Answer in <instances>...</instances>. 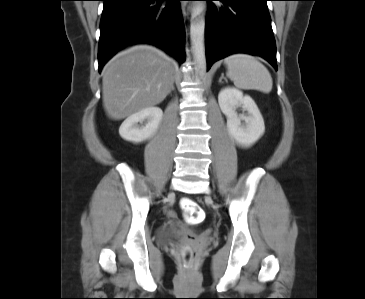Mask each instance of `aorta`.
<instances>
[{
	"mask_svg": "<svg viewBox=\"0 0 365 299\" xmlns=\"http://www.w3.org/2000/svg\"><path fill=\"white\" fill-rule=\"evenodd\" d=\"M205 34V14L204 3L198 1L195 3L190 25V39L192 45L193 57L197 69V73L201 79L206 76L207 62L204 46Z\"/></svg>",
	"mask_w": 365,
	"mask_h": 299,
	"instance_id": "aorta-1",
	"label": "aorta"
}]
</instances>
